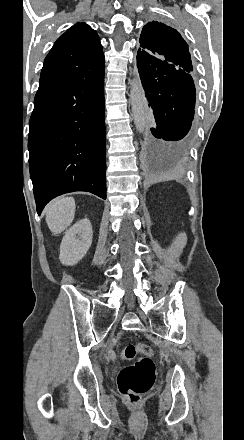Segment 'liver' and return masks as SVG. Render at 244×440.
<instances>
[{
  "instance_id": "6515ba94",
  "label": "liver",
  "mask_w": 244,
  "mask_h": 440,
  "mask_svg": "<svg viewBox=\"0 0 244 440\" xmlns=\"http://www.w3.org/2000/svg\"><path fill=\"white\" fill-rule=\"evenodd\" d=\"M75 200L74 198H59L54 200L48 206L46 214V224L56 236L64 232L70 224H72L75 216Z\"/></svg>"
}]
</instances>
